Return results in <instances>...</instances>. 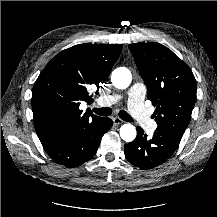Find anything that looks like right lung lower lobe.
<instances>
[{"label": "right lung lower lobe", "mask_w": 217, "mask_h": 217, "mask_svg": "<svg viewBox=\"0 0 217 217\" xmlns=\"http://www.w3.org/2000/svg\"><path fill=\"white\" fill-rule=\"evenodd\" d=\"M112 125L111 119L99 117L75 132L42 142V146L57 164L73 168L94 156Z\"/></svg>", "instance_id": "98d812e1"}]
</instances>
